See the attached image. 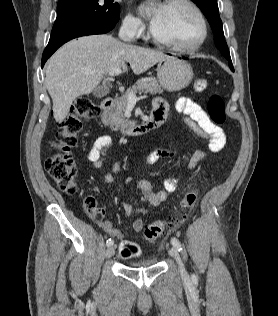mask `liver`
I'll return each instance as SVG.
<instances>
[{"label": "liver", "mask_w": 278, "mask_h": 316, "mask_svg": "<svg viewBox=\"0 0 278 316\" xmlns=\"http://www.w3.org/2000/svg\"><path fill=\"white\" fill-rule=\"evenodd\" d=\"M165 57L161 51L126 44L111 35L84 36L66 43L46 66L45 84L55 120L62 122L73 101L97 88L110 70L127 72L129 63L133 73L139 75Z\"/></svg>", "instance_id": "6515ba94"}]
</instances>
